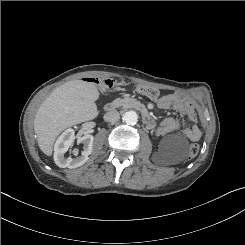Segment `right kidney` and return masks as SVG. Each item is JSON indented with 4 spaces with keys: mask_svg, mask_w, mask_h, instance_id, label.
<instances>
[{
    "mask_svg": "<svg viewBox=\"0 0 245 245\" xmlns=\"http://www.w3.org/2000/svg\"><path fill=\"white\" fill-rule=\"evenodd\" d=\"M75 140V131L73 129L65 130L57 139L54 147V161L60 168H77L82 166L88 160V156L93 149L94 137L90 134L84 135L78 139L79 143H83V152L81 156L76 158L65 157V153L73 146ZM77 152L74 151V154Z\"/></svg>",
    "mask_w": 245,
    "mask_h": 245,
    "instance_id": "ca27d5eb",
    "label": "right kidney"
}]
</instances>
